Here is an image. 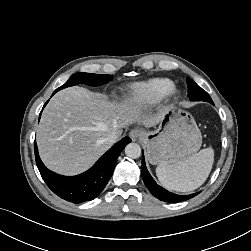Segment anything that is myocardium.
I'll use <instances>...</instances> for the list:
<instances>
[{
	"mask_svg": "<svg viewBox=\"0 0 251 251\" xmlns=\"http://www.w3.org/2000/svg\"><path fill=\"white\" fill-rule=\"evenodd\" d=\"M179 95V90L173 86L167 93L166 97L176 98Z\"/></svg>",
	"mask_w": 251,
	"mask_h": 251,
	"instance_id": "f54148a6",
	"label": "myocardium"
}]
</instances>
